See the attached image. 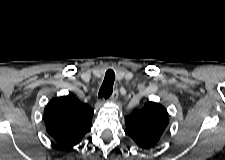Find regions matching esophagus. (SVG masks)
I'll return each instance as SVG.
<instances>
[{
	"label": "esophagus",
	"mask_w": 225,
	"mask_h": 160,
	"mask_svg": "<svg viewBox=\"0 0 225 160\" xmlns=\"http://www.w3.org/2000/svg\"><path fill=\"white\" fill-rule=\"evenodd\" d=\"M118 95H119L118 90H114L113 93H112V95H111V97H110V101L111 102L116 101L117 98H118Z\"/></svg>",
	"instance_id": "esophagus-1"
}]
</instances>
